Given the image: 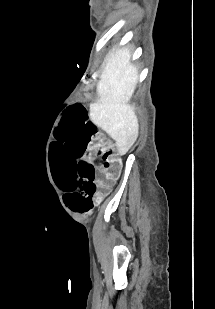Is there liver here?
Instances as JSON below:
<instances>
[{
    "instance_id": "obj_1",
    "label": "liver",
    "mask_w": 215,
    "mask_h": 309,
    "mask_svg": "<svg viewBox=\"0 0 215 309\" xmlns=\"http://www.w3.org/2000/svg\"><path fill=\"white\" fill-rule=\"evenodd\" d=\"M131 56L128 46L112 48L96 84L98 100L90 104L93 122L116 140L120 155H125L139 134L135 108L129 104L139 80Z\"/></svg>"
}]
</instances>
